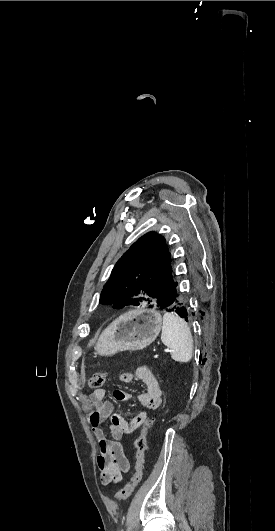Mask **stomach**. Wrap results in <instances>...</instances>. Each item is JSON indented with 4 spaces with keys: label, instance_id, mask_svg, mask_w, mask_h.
<instances>
[{
    "label": "stomach",
    "instance_id": "stomach-1",
    "mask_svg": "<svg viewBox=\"0 0 275 531\" xmlns=\"http://www.w3.org/2000/svg\"><path fill=\"white\" fill-rule=\"evenodd\" d=\"M162 315L154 309L128 311L101 333L95 355L112 357L120 351H140L157 339L162 329Z\"/></svg>",
    "mask_w": 275,
    "mask_h": 531
}]
</instances>
